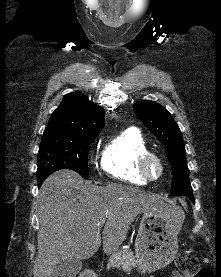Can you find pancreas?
<instances>
[{
  "label": "pancreas",
  "instance_id": "pancreas-1",
  "mask_svg": "<svg viewBox=\"0 0 221 277\" xmlns=\"http://www.w3.org/2000/svg\"><path fill=\"white\" fill-rule=\"evenodd\" d=\"M135 256L131 250H121L114 253L108 261L107 268H123L129 270L135 266Z\"/></svg>",
  "mask_w": 221,
  "mask_h": 277
}]
</instances>
